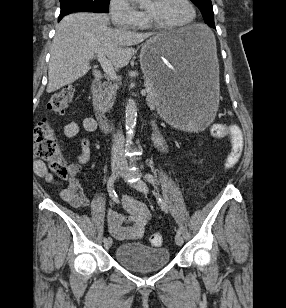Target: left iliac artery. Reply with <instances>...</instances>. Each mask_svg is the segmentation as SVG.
Returning <instances> with one entry per match:
<instances>
[{"mask_svg": "<svg viewBox=\"0 0 286 308\" xmlns=\"http://www.w3.org/2000/svg\"><path fill=\"white\" fill-rule=\"evenodd\" d=\"M145 179L149 183L155 185V179L151 174H145ZM158 202H159L161 208L167 213L168 212L167 206H166L164 200L162 199V197L160 195H158ZM176 232H177V234H181V230L179 228L176 229Z\"/></svg>", "mask_w": 286, "mask_h": 308, "instance_id": "obj_1", "label": "left iliac artery"}]
</instances>
